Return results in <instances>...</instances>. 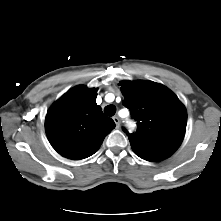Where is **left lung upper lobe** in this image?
Returning a JSON list of instances; mask_svg holds the SVG:
<instances>
[{"label": "left lung upper lobe", "mask_w": 221, "mask_h": 221, "mask_svg": "<svg viewBox=\"0 0 221 221\" xmlns=\"http://www.w3.org/2000/svg\"><path fill=\"white\" fill-rule=\"evenodd\" d=\"M120 86L123 105L138 122L137 132L127 133L134 153L151 162L171 156L185 135L184 105L171 90L152 81H122Z\"/></svg>", "instance_id": "5c2ea615"}]
</instances>
